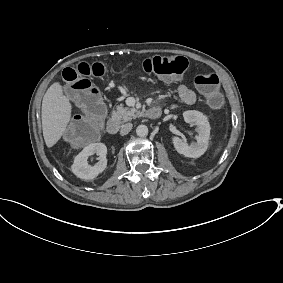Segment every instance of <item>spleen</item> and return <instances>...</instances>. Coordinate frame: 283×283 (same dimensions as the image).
<instances>
[{
  "mask_svg": "<svg viewBox=\"0 0 283 283\" xmlns=\"http://www.w3.org/2000/svg\"><path fill=\"white\" fill-rule=\"evenodd\" d=\"M222 148H223V144H219V146L215 149V151L212 155L213 159L221 152Z\"/></svg>",
  "mask_w": 283,
  "mask_h": 283,
  "instance_id": "obj_1",
  "label": "spleen"
}]
</instances>
